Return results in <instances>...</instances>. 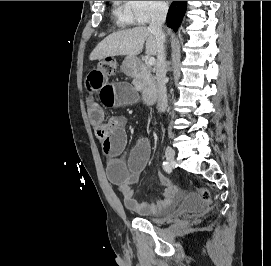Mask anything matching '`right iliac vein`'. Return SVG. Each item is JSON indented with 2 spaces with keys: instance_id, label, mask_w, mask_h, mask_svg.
I'll return each mask as SVG.
<instances>
[{
  "instance_id": "1",
  "label": "right iliac vein",
  "mask_w": 271,
  "mask_h": 266,
  "mask_svg": "<svg viewBox=\"0 0 271 266\" xmlns=\"http://www.w3.org/2000/svg\"><path fill=\"white\" fill-rule=\"evenodd\" d=\"M175 151L171 147H167L165 150V157L169 162H174L175 160Z\"/></svg>"
}]
</instances>
